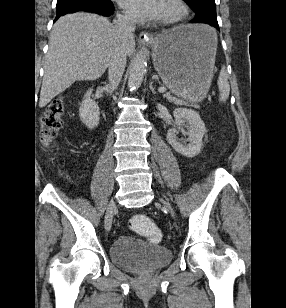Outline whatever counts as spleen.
I'll return each instance as SVG.
<instances>
[{
    "label": "spleen",
    "instance_id": "spleen-1",
    "mask_svg": "<svg viewBox=\"0 0 286 308\" xmlns=\"http://www.w3.org/2000/svg\"><path fill=\"white\" fill-rule=\"evenodd\" d=\"M217 84H218V88L220 92L219 99L220 101L225 102L228 99L229 93H230V86L228 83V74L225 70V67H222L220 71Z\"/></svg>",
    "mask_w": 286,
    "mask_h": 308
}]
</instances>
